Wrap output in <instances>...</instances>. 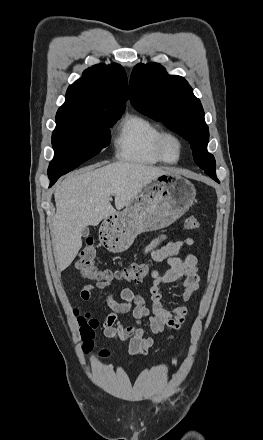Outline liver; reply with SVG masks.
<instances>
[{
	"label": "liver",
	"instance_id": "1",
	"mask_svg": "<svg viewBox=\"0 0 263 440\" xmlns=\"http://www.w3.org/2000/svg\"><path fill=\"white\" fill-rule=\"evenodd\" d=\"M94 165L65 178L54 193L56 214L51 234L55 262L65 270L82 247V231L117 213L152 180L169 173L161 168L120 161ZM115 197V208L110 197Z\"/></svg>",
	"mask_w": 263,
	"mask_h": 440
}]
</instances>
